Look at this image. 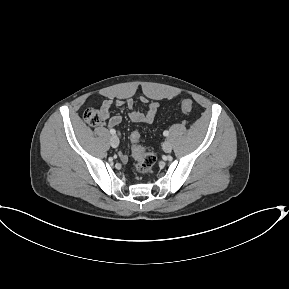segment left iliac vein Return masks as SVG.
<instances>
[{"label":"left iliac vein","mask_w":289,"mask_h":289,"mask_svg":"<svg viewBox=\"0 0 289 289\" xmlns=\"http://www.w3.org/2000/svg\"><path fill=\"white\" fill-rule=\"evenodd\" d=\"M163 150L166 152V153H170L172 151V144L169 142V141H165L163 143Z\"/></svg>","instance_id":"1"}]
</instances>
